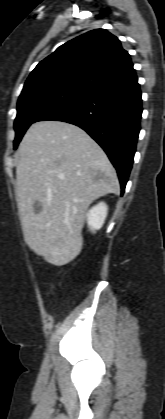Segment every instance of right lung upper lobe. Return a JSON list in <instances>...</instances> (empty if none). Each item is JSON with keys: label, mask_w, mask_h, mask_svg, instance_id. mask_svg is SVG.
Here are the masks:
<instances>
[{"label": "right lung upper lobe", "mask_w": 165, "mask_h": 419, "mask_svg": "<svg viewBox=\"0 0 165 419\" xmlns=\"http://www.w3.org/2000/svg\"><path fill=\"white\" fill-rule=\"evenodd\" d=\"M132 69L130 55L119 39L107 30L95 29L61 45L41 61L26 80L21 95L54 86L89 93Z\"/></svg>", "instance_id": "right-lung-upper-lobe-1"}]
</instances>
